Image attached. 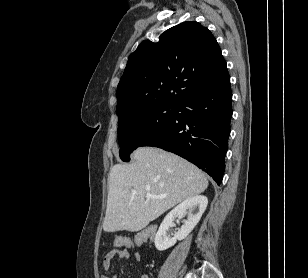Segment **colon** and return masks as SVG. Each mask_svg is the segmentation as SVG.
Segmentation results:
<instances>
[{
    "label": "colon",
    "mask_w": 308,
    "mask_h": 278,
    "mask_svg": "<svg viewBox=\"0 0 308 278\" xmlns=\"http://www.w3.org/2000/svg\"><path fill=\"white\" fill-rule=\"evenodd\" d=\"M158 226H146L145 230H142L139 235H134V242L132 243L131 240L124 236H117L114 240V244L117 247H121L123 250H137L139 243L144 242H153L154 237L157 236L158 233Z\"/></svg>",
    "instance_id": "obj_1"
}]
</instances>
